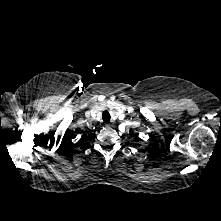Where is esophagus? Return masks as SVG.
Listing matches in <instances>:
<instances>
[{"instance_id": "34e87169", "label": "esophagus", "mask_w": 221, "mask_h": 221, "mask_svg": "<svg viewBox=\"0 0 221 221\" xmlns=\"http://www.w3.org/2000/svg\"><path fill=\"white\" fill-rule=\"evenodd\" d=\"M105 126H106V127H112V125L109 124V123H106Z\"/></svg>"}]
</instances>
